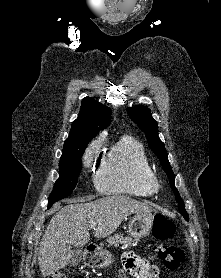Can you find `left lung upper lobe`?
Instances as JSON below:
<instances>
[{
    "mask_svg": "<svg viewBox=\"0 0 221 278\" xmlns=\"http://www.w3.org/2000/svg\"><path fill=\"white\" fill-rule=\"evenodd\" d=\"M127 113L130 118L138 125V127L141 128V130L145 133L150 149L160 158L161 165L163 166L167 176L170 178V184L173 188V192L175 193L176 201L179 204V211L185 220L189 221L188 214L184 207V202L182 201L174 185V174L168 161V154L163 142L158 136L157 122L151 116L150 110L144 106L128 108Z\"/></svg>",
    "mask_w": 221,
    "mask_h": 278,
    "instance_id": "5c2ea615",
    "label": "left lung upper lobe"
}]
</instances>
